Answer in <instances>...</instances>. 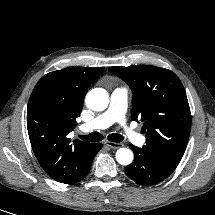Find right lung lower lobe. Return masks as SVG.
<instances>
[{
    "label": "right lung lower lobe",
    "instance_id": "1",
    "mask_svg": "<svg viewBox=\"0 0 215 215\" xmlns=\"http://www.w3.org/2000/svg\"><path fill=\"white\" fill-rule=\"evenodd\" d=\"M102 148V144L101 143H95L93 144L92 146V149H91V152H90V155H89V158L88 160L86 161L85 165H84V168L80 174V176L78 177V179L76 180V182H78L79 180L83 179L89 172L90 168H91V165H92V161H93V158L94 156L96 155V153ZM75 182V183H76Z\"/></svg>",
    "mask_w": 215,
    "mask_h": 215
}]
</instances>
